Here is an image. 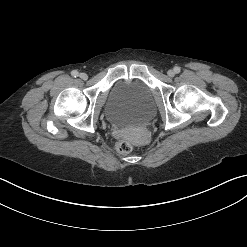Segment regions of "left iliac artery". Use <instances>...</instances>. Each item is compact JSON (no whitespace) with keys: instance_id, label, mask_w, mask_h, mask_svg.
<instances>
[{"instance_id":"44dca946","label":"left iliac artery","mask_w":247,"mask_h":247,"mask_svg":"<svg viewBox=\"0 0 247 247\" xmlns=\"http://www.w3.org/2000/svg\"><path fill=\"white\" fill-rule=\"evenodd\" d=\"M174 72L175 73H179L180 72V67H178V66L174 67Z\"/></svg>"}]
</instances>
